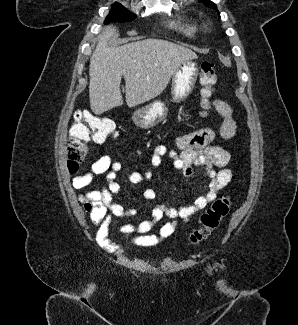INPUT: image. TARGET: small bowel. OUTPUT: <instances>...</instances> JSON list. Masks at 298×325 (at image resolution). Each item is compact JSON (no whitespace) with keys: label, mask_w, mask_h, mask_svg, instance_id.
Wrapping results in <instances>:
<instances>
[{"label":"small bowel","mask_w":298,"mask_h":325,"mask_svg":"<svg viewBox=\"0 0 298 325\" xmlns=\"http://www.w3.org/2000/svg\"><path fill=\"white\" fill-rule=\"evenodd\" d=\"M213 107L223 119L219 129V135L224 140L231 139L236 131V123L232 117L230 105L223 100H215ZM216 138V132L212 128H202L197 131L177 136L174 140L175 149L165 145L156 146L150 156L153 168L159 167L164 157L173 161V166L188 179L194 176V168H200L203 175L209 180L208 190L205 194L196 198L193 204L170 207L164 202H158L151 207L152 220H144L138 224H124L120 226V233L134 245L146 248H156L176 231L178 221L186 222L197 211L204 209L213 202L217 195L230 183L232 172L227 168L230 161V153L212 142ZM141 155L140 150L136 151ZM123 170L119 161L113 160L110 155H103L94 161L90 170L72 179L75 189L88 187L93 178L103 175L108 182L107 186L88 191L79 195V201L83 204L84 211L89 215L92 224L96 227V241L98 245L108 252H118L122 246L111 241L109 227L114 217H135L138 214L136 208L125 209L122 205L113 202V196L120 191V185L116 182L118 173ZM128 180L133 184H139L153 177V170L144 172H127ZM143 197L148 201H155L157 194L153 189H146ZM163 217L172 219V222L164 224L157 234L151 233L153 225Z\"/></svg>","instance_id":"small-bowel-1"}]
</instances>
